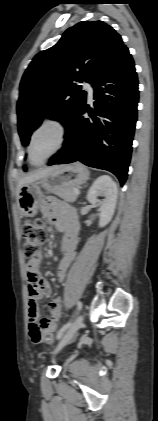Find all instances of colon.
Instances as JSON below:
<instances>
[{
  "label": "colon",
  "instance_id": "obj_1",
  "mask_svg": "<svg viewBox=\"0 0 158 421\" xmlns=\"http://www.w3.org/2000/svg\"><path fill=\"white\" fill-rule=\"evenodd\" d=\"M22 238L24 241L23 252L29 262L36 260L41 252V246L47 239L44 223L41 219L26 220L22 227ZM35 341L47 343L53 342V335L34 332Z\"/></svg>",
  "mask_w": 158,
  "mask_h": 421
}]
</instances>
